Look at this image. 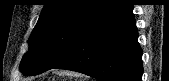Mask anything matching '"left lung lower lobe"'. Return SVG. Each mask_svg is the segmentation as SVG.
<instances>
[{"label":"left lung lower lobe","instance_id":"obj_1","mask_svg":"<svg viewBox=\"0 0 169 81\" xmlns=\"http://www.w3.org/2000/svg\"><path fill=\"white\" fill-rule=\"evenodd\" d=\"M132 11L131 1L116 0L79 34L67 55L53 68L101 81H141L142 49Z\"/></svg>","mask_w":169,"mask_h":81}]
</instances>
